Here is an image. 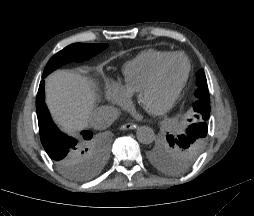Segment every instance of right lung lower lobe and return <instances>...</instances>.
Wrapping results in <instances>:
<instances>
[{
	"label": "right lung lower lobe",
	"instance_id": "obj_1",
	"mask_svg": "<svg viewBox=\"0 0 254 216\" xmlns=\"http://www.w3.org/2000/svg\"><path fill=\"white\" fill-rule=\"evenodd\" d=\"M36 110L42 145L56 166L65 167L72 162L78 161L85 174L91 173L92 160L90 150L93 144L92 133L83 131V138L78 143L76 139L65 135L57 128L44 101V80L39 85Z\"/></svg>",
	"mask_w": 254,
	"mask_h": 216
}]
</instances>
